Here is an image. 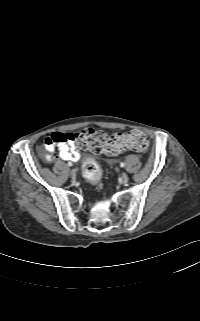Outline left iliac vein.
<instances>
[{"instance_id": "4c4485c4", "label": "left iliac vein", "mask_w": 200, "mask_h": 321, "mask_svg": "<svg viewBox=\"0 0 200 321\" xmlns=\"http://www.w3.org/2000/svg\"><path fill=\"white\" fill-rule=\"evenodd\" d=\"M121 179L123 183H127L129 180L128 175L126 173H122Z\"/></svg>"}]
</instances>
